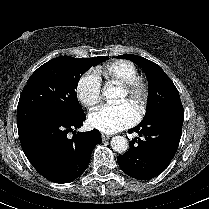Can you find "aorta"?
I'll list each match as a JSON object with an SVG mask.
<instances>
[{
	"mask_svg": "<svg viewBox=\"0 0 209 209\" xmlns=\"http://www.w3.org/2000/svg\"><path fill=\"white\" fill-rule=\"evenodd\" d=\"M120 92V88L115 86H109L104 89L103 95L107 99H114L120 96ZM111 147L114 151L118 153L126 152L129 147L128 140L123 136H115L111 140Z\"/></svg>",
	"mask_w": 209,
	"mask_h": 209,
	"instance_id": "aorta-1",
	"label": "aorta"
}]
</instances>
